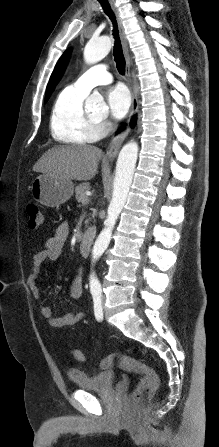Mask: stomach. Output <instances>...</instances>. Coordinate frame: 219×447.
<instances>
[{
  "label": "stomach",
  "instance_id": "stomach-1",
  "mask_svg": "<svg viewBox=\"0 0 219 447\" xmlns=\"http://www.w3.org/2000/svg\"><path fill=\"white\" fill-rule=\"evenodd\" d=\"M30 190L34 200L44 206L55 207L71 198L74 184L71 180L43 173L32 181Z\"/></svg>",
  "mask_w": 219,
  "mask_h": 447
}]
</instances>
